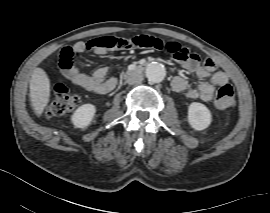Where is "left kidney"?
Returning a JSON list of instances; mask_svg holds the SVG:
<instances>
[{"label":"left kidney","mask_w":270,"mask_h":213,"mask_svg":"<svg viewBox=\"0 0 270 213\" xmlns=\"http://www.w3.org/2000/svg\"><path fill=\"white\" fill-rule=\"evenodd\" d=\"M212 121L210 110L202 103L193 102L188 108V122L196 131L206 129Z\"/></svg>","instance_id":"1"}]
</instances>
